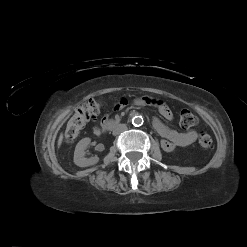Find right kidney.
<instances>
[{
  "mask_svg": "<svg viewBox=\"0 0 247 247\" xmlns=\"http://www.w3.org/2000/svg\"><path fill=\"white\" fill-rule=\"evenodd\" d=\"M90 142H91L90 138H83L77 143V145L75 147L73 160H74V163L79 167L92 166V165H95L96 163H98V161H99V158L97 156L90 157V158L84 157L85 149L90 144Z\"/></svg>",
  "mask_w": 247,
  "mask_h": 247,
  "instance_id": "ca27d5eb",
  "label": "right kidney"
}]
</instances>
